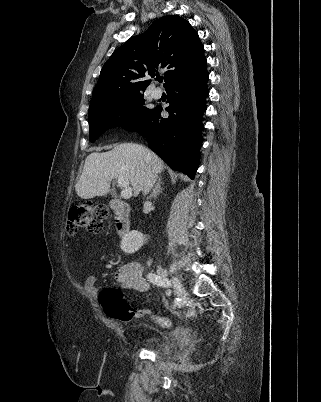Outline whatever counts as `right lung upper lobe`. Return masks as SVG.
<instances>
[{"label":"right lung upper lobe","instance_id":"right-lung-upper-lobe-1","mask_svg":"<svg viewBox=\"0 0 321 402\" xmlns=\"http://www.w3.org/2000/svg\"><path fill=\"white\" fill-rule=\"evenodd\" d=\"M206 64L204 46L190 23L179 16H164L113 52L102 67L90 107L144 92L150 80L142 78L154 77L162 68L168 69L166 87Z\"/></svg>","mask_w":321,"mask_h":402}]
</instances>
